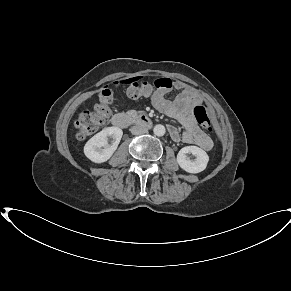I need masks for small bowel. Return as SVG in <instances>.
<instances>
[{"mask_svg": "<svg viewBox=\"0 0 291 291\" xmlns=\"http://www.w3.org/2000/svg\"><path fill=\"white\" fill-rule=\"evenodd\" d=\"M158 81L168 80V87H158L151 96L154 107L172 118L182 126L183 132L175 126H169V133L174 141H183L208 151L212 148V140L196 124L189 113V107L196 102L195 93L182 81L172 82L168 78H160ZM174 88L179 90V95L174 100L167 99L166 95Z\"/></svg>", "mask_w": 291, "mask_h": 291, "instance_id": "small-bowel-1", "label": "small bowel"}]
</instances>
